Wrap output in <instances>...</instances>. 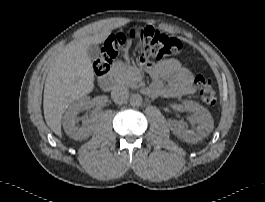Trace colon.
<instances>
[{
	"mask_svg": "<svg viewBox=\"0 0 265 202\" xmlns=\"http://www.w3.org/2000/svg\"><path fill=\"white\" fill-rule=\"evenodd\" d=\"M132 41L136 44L140 65H147L151 59H164L179 55L183 51L181 41L150 27L132 28L110 35L103 44L98 58L94 62L96 77L108 73L111 64L117 58L119 49L125 43ZM194 84L199 98L208 106L216 104V91L209 76L198 74L194 76Z\"/></svg>",
	"mask_w": 265,
	"mask_h": 202,
	"instance_id": "5ec220e1",
	"label": "colon"
}]
</instances>
